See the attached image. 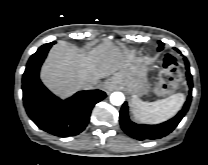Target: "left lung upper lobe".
<instances>
[{"instance_id": "left-lung-upper-lobe-1", "label": "left lung upper lobe", "mask_w": 208, "mask_h": 165, "mask_svg": "<svg viewBox=\"0 0 208 165\" xmlns=\"http://www.w3.org/2000/svg\"><path fill=\"white\" fill-rule=\"evenodd\" d=\"M163 45H164V44H163L162 42L159 41V48H158L159 51L162 50Z\"/></svg>"}]
</instances>
